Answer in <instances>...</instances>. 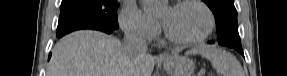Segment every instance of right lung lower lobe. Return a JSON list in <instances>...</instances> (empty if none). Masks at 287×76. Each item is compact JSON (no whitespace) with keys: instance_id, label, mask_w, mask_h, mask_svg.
<instances>
[{"instance_id":"98d812e1","label":"right lung lower lobe","mask_w":287,"mask_h":76,"mask_svg":"<svg viewBox=\"0 0 287 76\" xmlns=\"http://www.w3.org/2000/svg\"><path fill=\"white\" fill-rule=\"evenodd\" d=\"M85 29V28H84ZM87 29H95V30H100V31H103L105 33H111L113 31H115L116 29H113V28H107V27H91V28H87ZM64 36V35H63ZM62 37V36H61ZM60 38V37H59ZM51 57V53L49 55V59Z\"/></svg>"}]
</instances>
